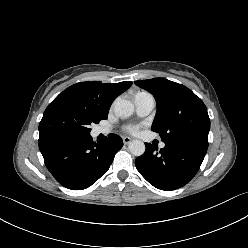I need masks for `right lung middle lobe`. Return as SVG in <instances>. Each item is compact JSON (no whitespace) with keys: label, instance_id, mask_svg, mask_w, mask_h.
<instances>
[{"label":"right lung middle lobe","instance_id":"obj_1","mask_svg":"<svg viewBox=\"0 0 248 248\" xmlns=\"http://www.w3.org/2000/svg\"><path fill=\"white\" fill-rule=\"evenodd\" d=\"M100 119L87 110L64 101L51 102L39 124V134L60 132L88 135L92 123Z\"/></svg>","mask_w":248,"mask_h":248}]
</instances>
